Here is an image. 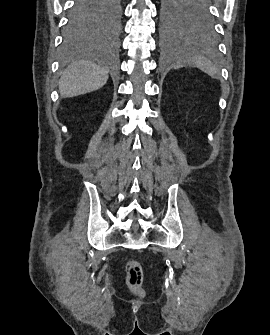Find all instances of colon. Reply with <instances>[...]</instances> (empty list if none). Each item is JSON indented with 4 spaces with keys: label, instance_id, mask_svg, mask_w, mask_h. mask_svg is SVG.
Here are the masks:
<instances>
[{
    "label": "colon",
    "instance_id": "5ec220e1",
    "mask_svg": "<svg viewBox=\"0 0 270 335\" xmlns=\"http://www.w3.org/2000/svg\"><path fill=\"white\" fill-rule=\"evenodd\" d=\"M126 286L135 295L141 296L144 292L143 290V274L141 265L137 260L130 259L126 262Z\"/></svg>",
    "mask_w": 270,
    "mask_h": 335
}]
</instances>
